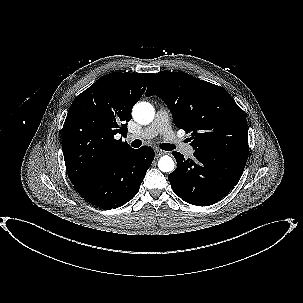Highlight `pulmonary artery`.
<instances>
[{
	"label": "pulmonary artery",
	"mask_w": 303,
	"mask_h": 303,
	"mask_svg": "<svg viewBox=\"0 0 303 303\" xmlns=\"http://www.w3.org/2000/svg\"><path fill=\"white\" fill-rule=\"evenodd\" d=\"M158 134H161L165 140L172 143L177 140V137L173 133L169 124V115L164 109H160L157 111L152 124L142 130L138 135H129L128 139H151ZM178 147L180 148L181 152L186 156H192L194 153V147L191 145H184L178 142Z\"/></svg>",
	"instance_id": "obj_1"
}]
</instances>
